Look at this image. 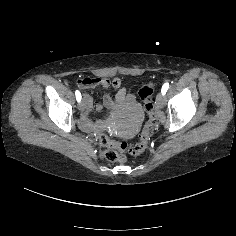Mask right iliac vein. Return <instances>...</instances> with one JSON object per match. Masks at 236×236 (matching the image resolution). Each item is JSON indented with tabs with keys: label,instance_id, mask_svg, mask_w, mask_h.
<instances>
[{
	"label": "right iliac vein",
	"instance_id": "obj_1",
	"mask_svg": "<svg viewBox=\"0 0 236 236\" xmlns=\"http://www.w3.org/2000/svg\"><path fill=\"white\" fill-rule=\"evenodd\" d=\"M86 107V103L85 100L83 99L79 104H78V108L79 110L83 111Z\"/></svg>",
	"mask_w": 236,
	"mask_h": 236
}]
</instances>
